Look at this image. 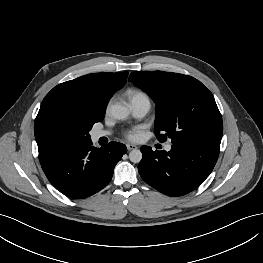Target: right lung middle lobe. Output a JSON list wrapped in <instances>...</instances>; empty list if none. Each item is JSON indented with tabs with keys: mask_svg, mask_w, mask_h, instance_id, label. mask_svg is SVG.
I'll return each mask as SVG.
<instances>
[{
	"mask_svg": "<svg viewBox=\"0 0 263 263\" xmlns=\"http://www.w3.org/2000/svg\"><path fill=\"white\" fill-rule=\"evenodd\" d=\"M104 115L58 116L53 119L42 149V158L47 159L59 151L90 140L89 131Z\"/></svg>",
	"mask_w": 263,
	"mask_h": 263,
	"instance_id": "right-lung-middle-lobe-1",
	"label": "right lung middle lobe"
}]
</instances>
